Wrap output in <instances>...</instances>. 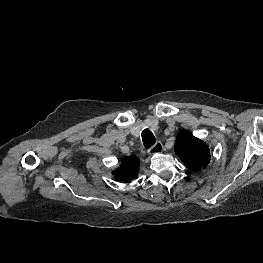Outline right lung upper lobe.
<instances>
[{
    "instance_id": "obj_1",
    "label": "right lung upper lobe",
    "mask_w": 263,
    "mask_h": 263,
    "mask_svg": "<svg viewBox=\"0 0 263 263\" xmlns=\"http://www.w3.org/2000/svg\"><path fill=\"white\" fill-rule=\"evenodd\" d=\"M139 163V158L134 155L122 158L120 167L112 172L114 178L122 182H129L137 178Z\"/></svg>"
}]
</instances>
